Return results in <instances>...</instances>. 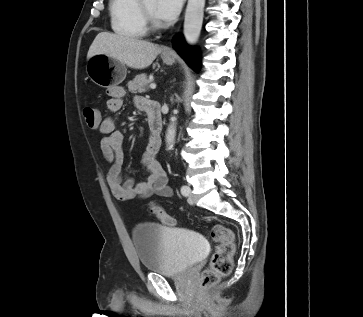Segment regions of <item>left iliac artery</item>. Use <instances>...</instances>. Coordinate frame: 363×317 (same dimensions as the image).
I'll return each mask as SVG.
<instances>
[{
    "mask_svg": "<svg viewBox=\"0 0 363 317\" xmlns=\"http://www.w3.org/2000/svg\"><path fill=\"white\" fill-rule=\"evenodd\" d=\"M181 193H182L184 196H188L189 188H188L186 185H183V186L181 187Z\"/></svg>",
    "mask_w": 363,
    "mask_h": 317,
    "instance_id": "obj_1",
    "label": "left iliac artery"
}]
</instances>
